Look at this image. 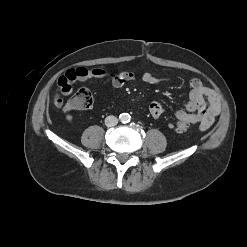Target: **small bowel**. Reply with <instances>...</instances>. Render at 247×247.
Segmentation results:
<instances>
[{"mask_svg":"<svg viewBox=\"0 0 247 247\" xmlns=\"http://www.w3.org/2000/svg\"><path fill=\"white\" fill-rule=\"evenodd\" d=\"M107 79L115 88H121L127 81L136 79V74L130 71L119 73L112 72L105 68L87 69L78 67L68 70L58 80V90L54 97V104L65 114L68 121L72 120V111L74 108L69 101L64 103L61 95H69L73 91L74 83L86 81L88 79ZM142 80L147 84H158L161 80L151 72L142 75ZM189 102L186 110H177L175 117L188 125L198 126L201 130H207L215 121L220 112V102L216 93L203 85L201 80L193 78L189 82ZM149 112L153 118H159L163 115L164 109L157 101L149 104Z\"/></svg>","mask_w":247,"mask_h":247,"instance_id":"1","label":"small bowel"}]
</instances>
